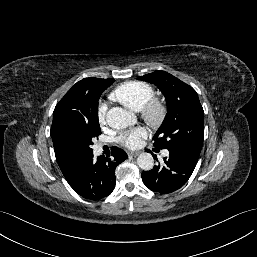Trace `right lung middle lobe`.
<instances>
[{
    "label": "right lung middle lobe",
    "instance_id": "right-lung-middle-lobe-1",
    "mask_svg": "<svg viewBox=\"0 0 257 257\" xmlns=\"http://www.w3.org/2000/svg\"><path fill=\"white\" fill-rule=\"evenodd\" d=\"M109 85L83 88L64 100L73 112V119L58 129L60 142L72 152L88 156L93 153L92 140L101 134L98 120V100Z\"/></svg>",
    "mask_w": 257,
    "mask_h": 257
}]
</instances>
